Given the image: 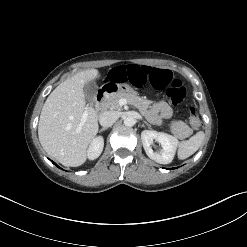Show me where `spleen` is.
Returning <instances> with one entry per match:
<instances>
[{
	"label": "spleen",
	"mask_w": 247,
	"mask_h": 247,
	"mask_svg": "<svg viewBox=\"0 0 247 247\" xmlns=\"http://www.w3.org/2000/svg\"><path fill=\"white\" fill-rule=\"evenodd\" d=\"M204 137V132L200 131L193 135L189 140L182 141L179 144L178 158L183 160L193 155L201 146Z\"/></svg>",
	"instance_id": "obj_1"
}]
</instances>
